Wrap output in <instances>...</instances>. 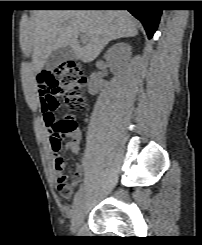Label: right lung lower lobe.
<instances>
[{"label": "right lung lower lobe", "mask_w": 202, "mask_h": 245, "mask_svg": "<svg viewBox=\"0 0 202 245\" xmlns=\"http://www.w3.org/2000/svg\"><path fill=\"white\" fill-rule=\"evenodd\" d=\"M121 2V3H120ZM82 7H127V10L143 24L148 38L157 30L162 10L156 1H80Z\"/></svg>", "instance_id": "1"}]
</instances>
